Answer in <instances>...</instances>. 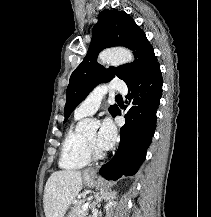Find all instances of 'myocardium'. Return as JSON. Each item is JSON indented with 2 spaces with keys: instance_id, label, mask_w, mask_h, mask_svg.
Returning a JSON list of instances; mask_svg holds the SVG:
<instances>
[{
  "instance_id": "myocardium-1",
  "label": "myocardium",
  "mask_w": 211,
  "mask_h": 217,
  "mask_svg": "<svg viewBox=\"0 0 211 217\" xmlns=\"http://www.w3.org/2000/svg\"><path fill=\"white\" fill-rule=\"evenodd\" d=\"M85 144L90 159L98 160L104 157L103 151L95 146L93 142L85 137Z\"/></svg>"
}]
</instances>
